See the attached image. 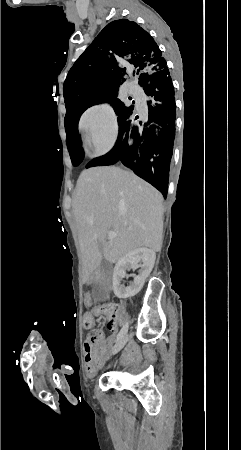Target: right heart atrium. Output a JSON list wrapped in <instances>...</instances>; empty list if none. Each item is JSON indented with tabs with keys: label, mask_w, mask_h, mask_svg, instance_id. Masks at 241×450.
<instances>
[{
	"label": "right heart atrium",
	"mask_w": 241,
	"mask_h": 450,
	"mask_svg": "<svg viewBox=\"0 0 241 450\" xmlns=\"http://www.w3.org/2000/svg\"><path fill=\"white\" fill-rule=\"evenodd\" d=\"M83 133L90 155L98 157L107 154L113 147L118 133V123L113 109L107 105L92 107L82 118ZM89 140V141H88Z\"/></svg>",
	"instance_id": "d8ad5b80"
}]
</instances>
